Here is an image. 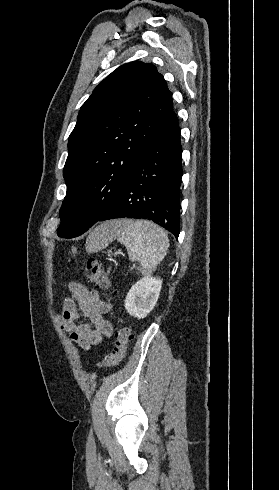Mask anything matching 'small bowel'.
Here are the masks:
<instances>
[{
  "mask_svg": "<svg viewBox=\"0 0 279 490\" xmlns=\"http://www.w3.org/2000/svg\"><path fill=\"white\" fill-rule=\"evenodd\" d=\"M71 297H65L58 323L64 332L83 350L99 345L104 337L113 333L111 322L105 317L110 311L111 304L102 299L96 290H88L77 282L69 283ZM81 315L88 323L78 324Z\"/></svg>",
  "mask_w": 279,
  "mask_h": 490,
  "instance_id": "obj_1",
  "label": "small bowel"
}]
</instances>
